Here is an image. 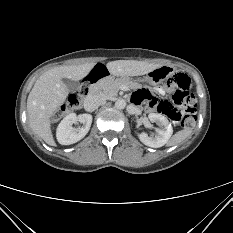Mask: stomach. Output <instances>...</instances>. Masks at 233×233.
<instances>
[{
	"label": "stomach",
	"mask_w": 233,
	"mask_h": 233,
	"mask_svg": "<svg viewBox=\"0 0 233 233\" xmlns=\"http://www.w3.org/2000/svg\"><path fill=\"white\" fill-rule=\"evenodd\" d=\"M173 73L174 69L171 66H160L149 72L147 74L146 80L151 84H155L158 81H164L168 79ZM122 82L126 83L130 88H137L140 85L138 80L129 77L124 78Z\"/></svg>",
	"instance_id": "0dacf381"
}]
</instances>
